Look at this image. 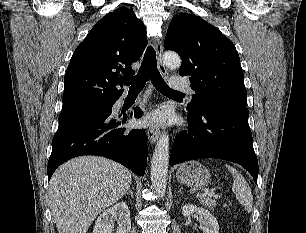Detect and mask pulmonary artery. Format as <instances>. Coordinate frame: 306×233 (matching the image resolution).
I'll use <instances>...</instances> for the list:
<instances>
[{
	"mask_svg": "<svg viewBox=\"0 0 306 233\" xmlns=\"http://www.w3.org/2000/svg\"><path fill=\"white\" fill-rule=\"evenodd\" d=\"M170 85H171V88L175 91L187 92L190 94L194 93V91L188 85L187 81L183 78H179V77L171 78ZM119 102H121V100Z\"/></svg>",
	"mask_w": 306,
	"mask_h": 233,
	"instance_id": "1",
	"label": "pulmonary artery"
}]
</instances>
